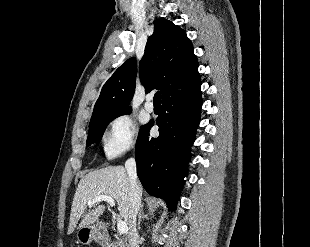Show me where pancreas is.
<instances>
[{"instance_id":"1","label":"pancreas","mask_w":310,"mask_h":247,"mask_svg":"<svg viewBox=\"0 0 310 247\" xmlns=\"http://www.w3.org/2000/svg\"><path fill=\"white\" fill-rule=\"evenodd\" d=\"M112 247H128L126 240L124 239H118L115 243L111 245Z\"/></svg>"}]
</instances>
